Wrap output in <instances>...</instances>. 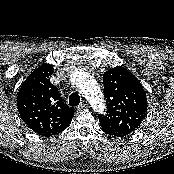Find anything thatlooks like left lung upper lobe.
<instances>
[{
	"label": "left lung upper lobe",
	"instance_id": "5c2ea615",
	"mask_svg": "<svg viewBox=\"0 0 174 174\" xmlns=\"http://www.w3.org/2000/svg\"><path fill=\"white\" fill-rule=\"evenodd\" d=\"M107 114L99 122L107 134L125 137L141 124L147 111V97L140 81L126 68L117 66L103 74Z\"/></svg>",
	"mask_w": 174,
	"mask_h": 174
}]
</instances>
